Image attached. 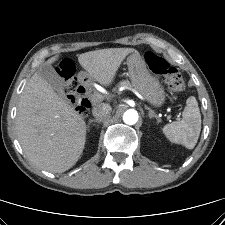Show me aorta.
I'll return each instance as SVG.
<instances>
[{"label": "aorta", "mask_w": 225, "mask_h": 225, "mask_svg": "<svg viewBox=\"0 0 225 225\" xmlns=\"http://www.w3.org/2000/svg\"><path fill=\"white\" fill-rule=\"evenodd\" d=\"M138 112L135 109H129L123 114V121L125 124L134 125L138 121Z\"/></svg>", "instance_id": "1"}]
</instances>
